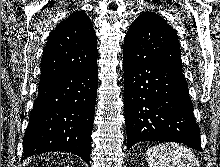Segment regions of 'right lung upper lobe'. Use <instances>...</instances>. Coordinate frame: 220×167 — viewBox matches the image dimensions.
I'll return each mask as SVG.
<instances>
[{"mask_svg":"<svg viewBox=\"0 0 220 167\" xmlns=\"http://www.w3.org/2000/svg\"><path fill=\"white\" fill-rule=\"evenodd\" d=\"M97 37L90 18L82 10L71 14L51 32L41 60L45 82L97 65Z\"/></svg>","mask_w":220,"mask_h":167,"instance_id":"cb5924a9","label":"right lung upper lobe"}]
</instances>
